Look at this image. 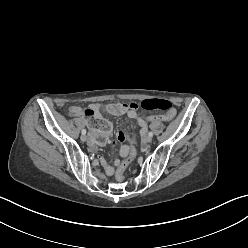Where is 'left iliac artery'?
Masks as SVG:
<instances>
[{
  "mask_svg": "<svg viewBox=\"0 0 248 248\" xmlns=\"http://www.w3.org/2000/svg\"><path fill=\"white\" fill-rule=\"evenodd\" d=\"M148 135H149L150 137H152V136H153V133H152V132H149Z\"/></svg>",
  "mask_w": 248,
  "mask_h": 248,
  "instance_id": "left-iliac-artery-1",
  "label": "left iliac artery"
}]
</instances>
